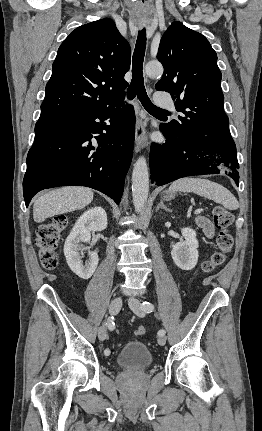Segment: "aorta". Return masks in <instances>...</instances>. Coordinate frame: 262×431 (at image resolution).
I'll list each match as a JSON object with an SVG mask.
<instances>
[{"mask_svg": "<svg viewBox=\"0 0 262 431\" xmlns=\"http://www.w3.org/2000/svg\"><path fill=\"white\" fill-rule=\"evenodd\" d=\"M163 66L159 62H150L145 66V72L150 77H158L163 74ZM149 194V172L144 156L137 159L132 172V199L135 211L144 212Z\"/></svg>", "mask_w": 262, "mask_h": 431, "instance_id": "762f6f07", "label": "aorta"}]
</instances>
